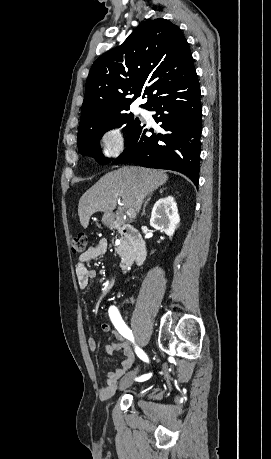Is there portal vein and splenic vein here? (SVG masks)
<instances>
[{"label": "portal vein and splenic vein", "mask_w": 271, "mask_h": 459, "mask_svg": "<svg viewBox=\"0 0 271 459\" xmlns=\"http://www.w3.org/2000/svg\"><path fill=\"white\" fill-rule=\"evenodd\" d=\"M126 214L129 216V218H134L135 210H127Z\"/></svg>", "instance_id": "portal-vein-and-splenic-vein-1"}]
</instances>
